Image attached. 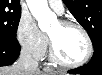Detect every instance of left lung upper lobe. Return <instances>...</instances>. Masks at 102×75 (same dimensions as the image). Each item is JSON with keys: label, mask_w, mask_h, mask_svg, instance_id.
Masks as SVG:
<instances>
[{"label": "left lung upper lobe", "mask_w": 102, "mask_h": 75, "mask_svg": "<svg viewBox=\"0 0 102 75\" xmlns=\"http://www.w3.org/2000/svg\"><path fill=\"white\" fill-rule=\"evenodd\" d=\"M63 2L88 32L93 46L102 45V0H63Z\"/></svg>", "instance_id": "1"}]
</instances>
